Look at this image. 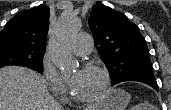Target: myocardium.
<instances>
[{
  "mask_svg": "<svg viewBox=\"0 0 171 110\" xmlns=\"http://www.w3.org/2000/svg\"><path fill=\"white\" fill-rule=\"evenodd\" d=\"M84 69H95L99 71L103 77V84L101 89L92 96H88V97L78 96L75 94L73 89L70 88V97L72 100L78 103L87 104V103L98 101L106 94L111 83V76L109 70L105 66L98 63L89 62L84 66Z\"/></svg>",
  "mask_w": 171,
  "mask_h": 110,
  "instance_id": "f54148a6",
  "label": "myocardium"
}]
</instances>
